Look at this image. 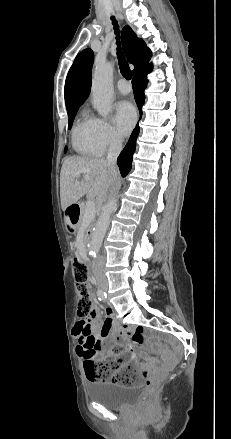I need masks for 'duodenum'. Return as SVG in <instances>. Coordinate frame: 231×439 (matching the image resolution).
Here are the masks:
<instances>
[{
  "label": "duodenum",
  "instance_id": "obj_1",
  "mask_svg": "<svg viewBox=\"0 0 231 439\" xmlns=\"http://www.w3.org/2000/svg\"><path fill=\"white\" fill-rule=\"evenodd\" d=\"M91 235H92V232H91V231H88L87 234H86V238H87V239L90 238Z\"/></svg>",
  "mask_w": 231,
  "mask_h": 439
}]
</instances>
